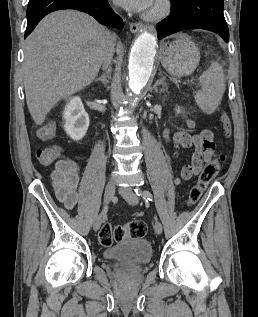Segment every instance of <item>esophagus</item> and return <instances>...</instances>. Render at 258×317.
Listing matches in <instances>:
<instances>
[{"mask_svg":"<svg viewBox=\"0 0 258 317\" xmlns=\"http://www.w3.org/2000/svg\"><path fill=\"white\" fill-rule=\"evenodd\" d=\"M144 29V26L142 23H130V31L132 33L140 32Z\"/></svg>","mask_w":258,"mask_h":317,"instance_id":"esophagus-1","label":"esophagus"}]
</instances>
